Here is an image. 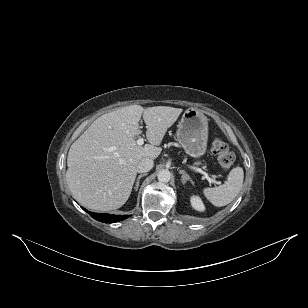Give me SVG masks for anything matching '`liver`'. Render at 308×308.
Returning <instances> with one entry per match:
<instances>
[{"mask_svg": "<svg viewBox=\"0 0 308 308\" xmlns=\"http://www.w3.org/2000/svg\"><path fill=\"white\" fill-rule=\"evenodd\" d=\"M183 109L140 105L119 108L98 117L71 145L66 181L73 197L95 211L120 208L128 200L142 158L156 159L159 147ZM143 116L149 144L137 145Z\"/></svg>", "mask_w": 308, "mask_h": 308, "instance_id": "obj_1", "label": "liver"}]
</instances>
